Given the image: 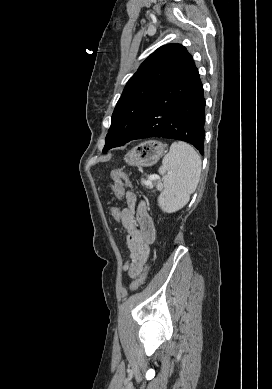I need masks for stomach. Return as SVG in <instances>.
I'll list each match as a JSON object with an SVG mask.
<instances>
[{
  "label": "stomach",
  "instance_id": "stomach-1",
  "mask_svg": "<svg viewBox=\"0 0 272 389\" xmlns=\"http://www.w3.org/2000/svg\"><path fill=\"white\" fill-rule=\"evenodd\" d=\"M165 145L157 140H149L129 151L124 160L131 166H152L164 155Z\"/></svg>",
  "mask_w": 272,
  "mask_h": 389
}]
</instances>
